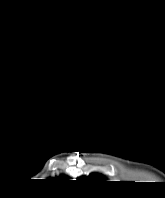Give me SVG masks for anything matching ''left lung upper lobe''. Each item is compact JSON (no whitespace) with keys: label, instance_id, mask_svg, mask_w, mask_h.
<instances>
[{"label":"left lung upper lobe","instance_id":"5c2ea615","mask_svg":"<svg viewBox=\"0 0 165 198\" xmlns=\"http://www.w3.org/2000/svg\"><path fill=\"white\" fill-rule=\"evenodd\" d=\"M80 179L87 180L89 182H97L103 180V177L100 174L93 173L89 177H81Z\"/></svg>","mask_w":165,"mask_h":198}]
</instances>
